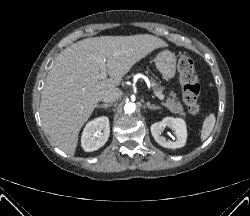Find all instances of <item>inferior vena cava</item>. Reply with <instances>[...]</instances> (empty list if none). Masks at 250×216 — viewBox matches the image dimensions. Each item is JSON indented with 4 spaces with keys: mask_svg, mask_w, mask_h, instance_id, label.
<instances>
[{
    "mask_svg": "<svg viewBox=\"0 0 250 216\" xmlns=\"http://www.w3.org/2000/svg\"><path fill=\"white\" fill-rule=\"evenodd\" d=\"M122 96V91L118 88H109L101 95V100L105 103H113Z\"/></svg>",
    "mask_w": 250,
    "mask_h": 216,
    "instance_id": "inferior-vena-cava-1",
    "label": "inferior vena cava"
}]
</instances>
